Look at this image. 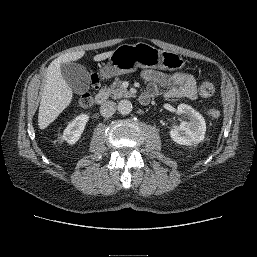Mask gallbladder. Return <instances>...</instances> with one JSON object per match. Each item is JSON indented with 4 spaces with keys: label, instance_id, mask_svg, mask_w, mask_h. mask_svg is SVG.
Wrapping results in <instances>:
<instances>
[{
    "label": "gallbladder",
    "instance_id": "obj_1",
    "mask_svg": "<svg viewBox=\"0 0 257 257\" xmlns=\"http://www.w3.org/2000/svg\"><path fill=\"white\" fill-rule=\"evenodd\" d=\"M61 74L73 92L81 94L90 87V75L87 69L76 63H62Z\"/></svg>",
    "mask_w": 257,
    "mask_h": 257
}]
</instances>
